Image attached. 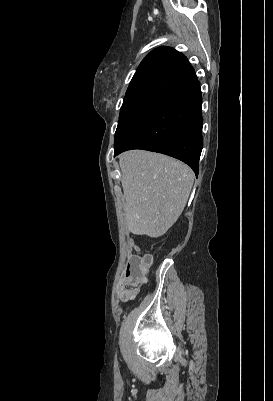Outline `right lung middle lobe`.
<instances>
[{"mask_svg":"<svg viewBox=\"0 0 273 401\" xmlns=\"http://www.w3.org/2000/svg\"><path fill=\"white\" fill-rule=\"evenodd\" d=\"M168 96L145 93L124 97L115 133L114 150L118 149L133 131L153 113Z\"/></svg>","mask_w":273,"mask_h":401,"instance_id":"obj_1","label":"right lung middle lobe"}]
</instances>
